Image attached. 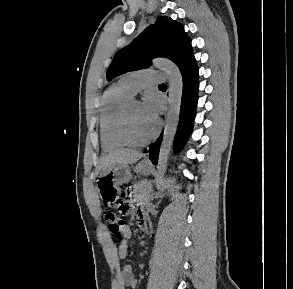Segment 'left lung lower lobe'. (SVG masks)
Listing matches in <instances>:
<instances>
[{
  "instance_id": "obj_1",
  "label": "left lung lower lobe",
  "mask_w": 293,
  "mask_h": 289,
  "mask_svg": "<svg viewBox=\"0 0 293 289\" xmlns=\"http://www.w3.org/2000/svg\"><path fill=\"white\" fill-rule=\"evenodd\" d=\"M180 72L183 78V93L180 110V121L175 139L177 148L182 147L189 137L192 131L195 117L199 82L198 68L194 56L180 68ZM162 138L163 135L161 134L148 151L149 157L153 164L157 163Z\"/></svg>"
}]
</instances>
